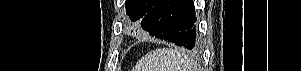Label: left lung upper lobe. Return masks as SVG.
<instances>
[{
  "label": "left lung upper lobe",
  "instance_id": "1",
  "mask_svg": "<svg viewBox=\"0 0 301 71\" xmlns=\"http://www.w3.org/2000/svg\"><path fill=\"white\" fill-rule=\"evenodd\" d=\"M158 0H126V13L132 21L141 20Z\"/></svg>",
  "mask_w": 301,
  "mask_h": 71
}]
</instances>
